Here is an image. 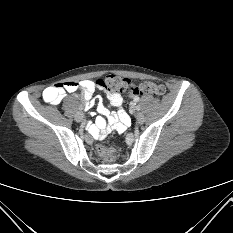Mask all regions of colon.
<instances>
[{
	"label": "colon",
	"mask_w": 233,
	"mask_h": 233,
	"mask_svg": "<svg viewBox=\"0 0 233 233\" xmlns=\"http://www.w3.org/2000/svg\"><path fill=\"white\" fill-rule=\"evenodd\" d=\"M108 84V90L117 93H126L129 95H145L161 96L165 93V87L153 82H142L140 84L132 83L129 79L117 76L108 75L98 79ZM98 154L107 162H111L115 158V150L111 147L103 145L97 146Z\"/></svg>",
	"instance_id": "1"
}]
</instances>
